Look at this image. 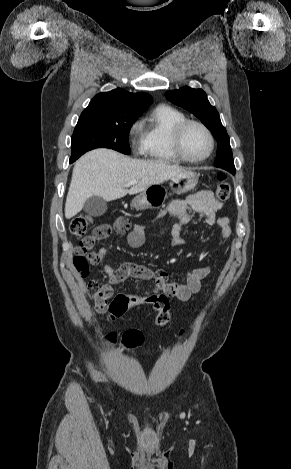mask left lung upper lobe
Listing matches in <instances>:
<instances>
[{
  "instance_id": "obj_1",
  "label": "left lung upper lobe",
  "mask_w": 291,
  "mask_h": 469,
  "mask_svg": "<svg viewBox=\"0 0 291 469\" xmlns=\"http://www.w3.org/2000/svg\"><path fill=\"white\" fill-rule=\"evenodd\" d=\"M165 96L172 103L197 116L211 131L218 146L214 165L235 174L229 136L221 123L218 111L209 103L206 93L202 89L186 86L179 90L167 91Z\"/></svg>"
}]
</instances>
